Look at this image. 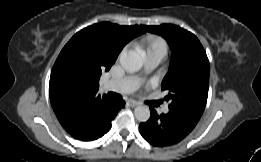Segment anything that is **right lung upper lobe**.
<instances>
[{"mask_svg":"<svg viewBox=\"0 0 261 162\" xmlns=\"http://www.w3.org/2000/svg\"><path fill=\"white\" fill-rule=\"evenodd\" d=\"M144 32L139 25L102 22L77 32L64 46L51 72L49 97L59 122L67 131L111 101L106 95L97 94L102 70L108 71L124 45ZM64 60L83 69L81 78L73 84H62L56 79L55 70Z\"/></svg>","mask_w":261,"mask_h":162,"instance_id":"right-lung-upper-lobe-1","label":"right lung upper lobe"}]
</instances>
